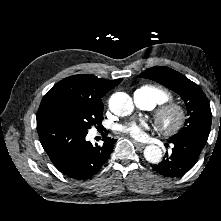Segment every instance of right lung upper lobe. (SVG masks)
I'll return each instance as SVG.
<instances>
[{
  "label": "right lung upper lobe",
  "mask_w": 221,
  "mask_h": 221,
  "mask_svg": "<svg viewBox=\"0 0 221 221\" xmlns=\"http://www.w3.org/2000/svg\"><path fill=\"white\" fill-rule=\"evenodd\" d=\"M121 81L100 79L90 74L67 77L55 84L43 97L37 121L48 120L53 111L65 106L88 104L103 107L101 98Z\"/></svg>",
  "instance_id": "cb5924a9"
}]
</instances>
